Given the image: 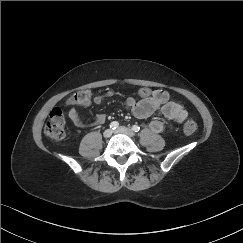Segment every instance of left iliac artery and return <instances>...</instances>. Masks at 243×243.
<instances>
[{
  "instance_id": "1",
  "label": "left iliac artery",
  "mask_w": 243,
  "mask_h": 243,
  "mask_svg": "<svg viewBox=\"0 0 243 243\" xmlns=\"http://www.w3.org/2000/svg\"><path fill=\"white\" fill-rule=\"evenodd\" d=\"M132 130L138 132L140 130V127L138 125H133Z\"/></svg>"
}]
</instances>
